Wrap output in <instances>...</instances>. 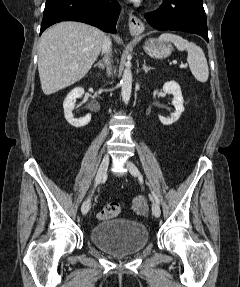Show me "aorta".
Returning <instances> with one entry per match:
<instances>
[{"instance_id": "762f6f07", "label": "aorta", "mask_w": 240, "mask_h": 287, "mask_svg": "<svg viewBox=\"0 0 240 287\" xmlns=\"http://www.w3.org/2000/svg\"><path fill=\"white\" fill-rule=\"evenodd\" d=\"M131 90H132V72L130 67H126L122 80H121V95L122 100L125 104H128L130 97H131Z\"/></svg>"}]
</instances>
